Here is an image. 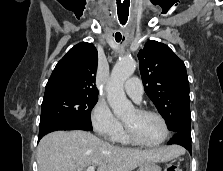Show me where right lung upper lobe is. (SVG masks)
I'll use <instances>...</instances> for the list:
<instances>
[{
	"mask_svg": "<svg viewBox=\"0 0 223 171\" xmlns=\"http://www.w3.org/2000/svg\"><path fill=\"white\" fill-rule=\"evenodd\" d=\"M97 63V50L92 43L75 45L53 70L44 98L70 93L98 95L95 85Z\"/></svg>",
	"mask_w": 223,
	"mask_h": 171,
	"instance_id": "right-lung-upper-lobe-1",
	"label": "right lung upper lobe"
}]
</instances>
